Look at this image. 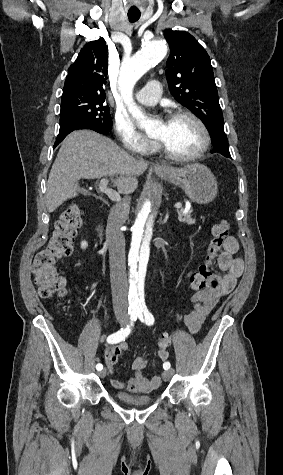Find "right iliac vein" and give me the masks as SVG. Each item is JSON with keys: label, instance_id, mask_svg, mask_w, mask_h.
I'll return each mask as SVG.
<instances>
[{"label": "right iliac vein", "instance_id": "right-iliac-vein-1", "mask_svg": "<svg viewBox=\"0 0 283 475\" xmlns=\"http://www.w3.org/2000/svg\"><path fill=\"white\" fill-rule=\"evenodd\" d=\"M120 323L125 324L126 320L125 319H120ZM106 375V369H103L101 372H99L100 377H105Z\"/></svg>", "mask_w": 283, "mask_h": 475}]
</instances>
